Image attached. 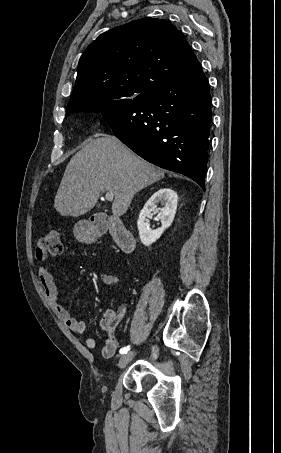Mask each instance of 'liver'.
Here are the masks:
<instances>
[{"label":"liver","instance_id":"obj_1","mask_svg":"<svg viewBox=\"0 0 281 453\" xmlns=\"http://www.w3.org/2000/svg\"><path fill=\"white\" fill-rule=\"evenodd\" d=\"M164 178V170L146 162L111 134L90 140L69 160L54 206L62 216H80L95 206L100 192H114L112 212L121 216L134 194Z\"/></svg>","mask_w":281,"mask_h":453}]
</instances>
